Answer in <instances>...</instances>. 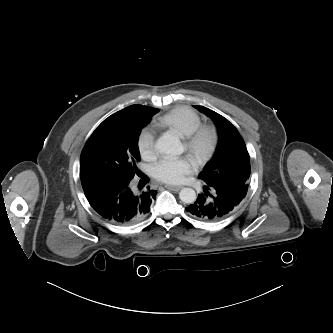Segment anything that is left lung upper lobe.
<instances>
[{"label":"left lung upper lobe","mask_w":333,"mask_h":333,"mask_svg":"<svg viewBox=\"0 0 333 333\" xmlns=\"http://www.w3.org/2000/svg\"><path fill=\"white\" fill-rule=\"evenodd\" d=\"M194 107L213 120L218 127L219 135L216 151L198 177L209 186L224 184L237 190L242 189L246 195L250 177V157L244 140L223 116L203 106Z\"/></svg>","instance_id":"obj_1"}]
</instances>
